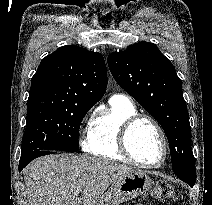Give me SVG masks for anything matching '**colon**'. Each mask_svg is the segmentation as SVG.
I'll return each instance as SVG.
<instances>
[{
	"instance_id": "colon-1",
	"label": "colon",
	"mask_w": 212,
	"mask_h": 205,
	"mask_svg": "<svg viewBox=\"0 0 212 205\" xmlns=\"http://www.w3.org/2000/svg\"><path fill=\"white\" fill-rule=\"evenodd\" d=\"M151 195L160 201H174L176 198L174 187L166 182H158L154 185Z\"/></svg>"
}]
</instances>
